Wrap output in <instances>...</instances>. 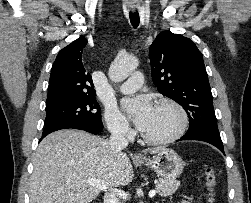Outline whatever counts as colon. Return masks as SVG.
I'll return each mask as SVG.
<instances>
[{"mask_svg": "<svg viewBox=\"0 0 251 203\" xmlns=\"http://www.w3.org/2000/svg\"><path fill=\"white\" fill-rule=\"evenodd\" d=\"M203 172H204L206 185H207L208 191H209L208 192V201H209V203H215L213 188L216 184V172H215L214 168L209 164L204 165Z\"/></svg>", "mask_w": 251, "mask_h": 203, "instance_id": "obj_1", "label": "colon"}]
</instances>
